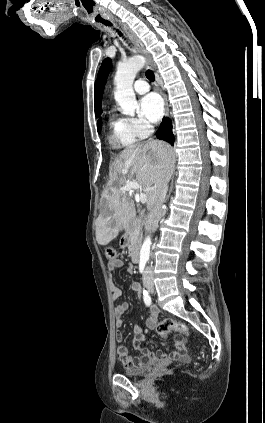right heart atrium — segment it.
<instances>
[{"label":"right heart atrium","instance_id":"1","mask_svg":"<svg viewBox=\"0 0 265 423\" xmlns=\"http://www.w3.org/2000/svg\"><path fill=\"white\" fill-rule=\"evenodd\" d=\"M126 120L129 130L136 140L146 138L153 130V126L141 118H128Z\"/></svg>","mask_w":265,"mask_h":423}]
</instances>
